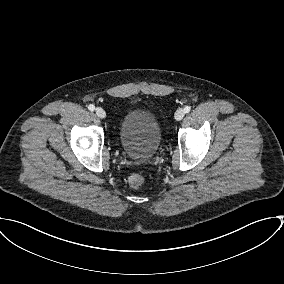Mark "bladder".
Instances as JSON below:
<instances>
[{
  "instance_id": "31cf9c89",
  "label": "bladder",
  "mask_w": 284,
  "mask_h": 284,
  "mask_svg": "<svg viewBox=\"0 0 284 284\" xmlns=\"http://www.w3.org/2000/svg\"><path fill=\"white\" fill-rule=\"evenodd\" d=\"M161 139V125L152 112L133 107L123 116L119 127V140L122 149L130 158L150 160L157 153Z\"/></svg>"
}]
</instances>
